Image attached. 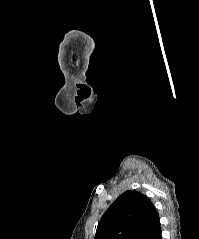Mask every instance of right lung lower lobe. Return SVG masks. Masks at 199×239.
Returning <instances> with one entry per match:
<instances>
[{
    "instance_id": "1",
    "label": "right lung lower lobe",
    "mask_w": 199,
    "mask_h": 239,
    "mask_svg": "<svg viewBox=\"0 0 199 239\" xmlns=\"http://www.w3.org/2000/svg\"><path fill=\"white\" fill-rule=\"evenodd\" d=\"M142 239H162L160 223L158 222Z\"/></svg>"
}]
</instances>
